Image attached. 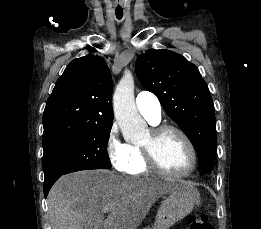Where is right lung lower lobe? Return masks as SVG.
<instances>
[{
	"instance_id": "1",
	"label": "right lung lower lobe",
	"mask_w": 261,
	"mask_h": 229,
	"mask_svg": "<svg viewBox=\"0 0 261 229\" xmlns=\"http://www.w3.org/2000/svg\"><path fill=\"white\" fill-rule=\"evenodd\" d=\"M62 175L53 177L51 179H49L48 181H45L44 183V196L47 197L48 192L50 190V188L52 187V185L61 177Z\"/></svg>"
}]
</instances>
